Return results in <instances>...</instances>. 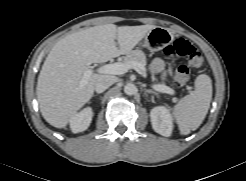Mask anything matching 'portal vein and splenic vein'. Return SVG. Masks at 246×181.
<instances>
[{"label":"portal vein and splenic vein","instance_id":"1","mask_svg":"<svg viewBox=\"0 0 246 181\" xmlns=\"http://www.w3.org/2000/svg\"><path fill=\"white\" fill-rule=\"evenodd\" d=\"M129 69H134L136 72H138L140 75H145L146 74V69L139 63L137 62H132V63H121V62H116L113 64H106L100 68L97 69V72L100 74H112V75H120L128 72ZM93 69L88 68L83 74V78L81 80V86H84L87 82V79L93 74ZM153 88L162 93H167L170 95H174L175 91L166 86V85H161V84H156L153 85ZM190 87H187V90L191 93Z\"/></svg>","mask_w":246,"mask_h":181}]
</instances>
